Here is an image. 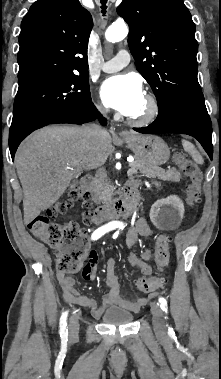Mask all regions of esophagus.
<instances>
[{
    "label": "esophagus",
    "mask_w": 221,
    "mask_h": 379,
    "mask_svg": "<svg viewBox=\"0 0 221 379\" xmlns=\"http://www.w3.org/2000/svg\"><path fill=\"white\" fill-rule=\"evenodd\" d=\"M128 132L127 131H125V130H122L120 133H119V135L120 136H128Z\"/></svg>",
    "instance_id": "esophagus-1"
}]
</instances>
